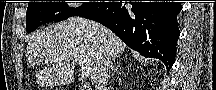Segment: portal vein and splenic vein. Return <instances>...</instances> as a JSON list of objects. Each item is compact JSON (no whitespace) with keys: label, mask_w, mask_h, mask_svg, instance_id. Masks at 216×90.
Returning a JSON list of instances; mask_svg holds the SVG:
<instances>
[{"label":"portal vein and splenic vein","mask_w":216,"mask_h":90,"mask_svg":"<svg viewBox=\"0 0 216 90\" xmlns=\"http://www.w3.org/2000/svg\"><path fill=\"white\" fill-rule=\"evenodd\" d=\"M76 64H82V62H76ZM89 74H83L82 72V76L81 78H88Z\"/></svg>","instance_id":"portal-vein-and-splenic-vein-1"}]
</instances>
